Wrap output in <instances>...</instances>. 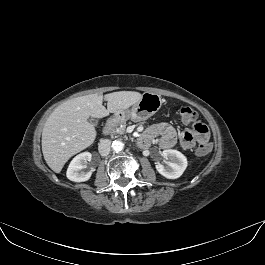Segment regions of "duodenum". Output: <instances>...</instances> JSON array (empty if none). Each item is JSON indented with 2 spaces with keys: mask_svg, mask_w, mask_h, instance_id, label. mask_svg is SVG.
<instances>
[{
  "mask_svg": "<svg viewBox=\"0 0 265 265\" xmlns=\"http://www.w3.org/2000/svg\"><path fill=\"white\" fill-rule=\"evenodd\" d=\"M118 121H119L118 116H111L105 124L103 133L105 135L109 134L112 131V129L115 127V125L118 123ZM143 140H144V137H140L139 143L143 144Z\"/></svg>",
  "mask_w": 265,
  "mask_h": 265,
  "instance_id": "duodenum-1",
  "label": "duodenum"
}]
</instances>
